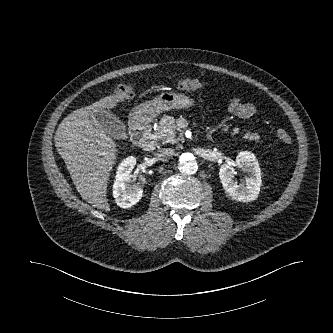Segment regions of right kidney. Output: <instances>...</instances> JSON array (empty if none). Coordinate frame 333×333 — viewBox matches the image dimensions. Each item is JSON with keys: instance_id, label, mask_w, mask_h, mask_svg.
I'll use <instances>...</instances> for the list:
<instances>
[{"instance_id": "right-kidney-1", "label": "right kidney", "mask_w": 333, "mask_h": 333, "mask_svg": "<svg viewBox=\"0 0 333 333\" xmlns=\"http://www.w3.org/2000/svg\"><path fill=\"white\" fill-rule=\"evenodd\" d=\"M135 164L136 159L130 156L124 159L117 169L116 180L113 184V196L117 205L122 208L135 205L142 197V188L146 183L145 178L140 176L137 185L131 184L132 176L130 173Z\"/></svg>"}]
</instances>
